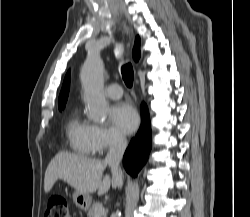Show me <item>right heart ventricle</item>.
Here are the masks:
<instances>
[{"label": "right heart ventricle", "mask_w": 250, "mask_h": 217, "mask_svg": "<svg viewBox=\"0 0 250 217\" xmlns=\"http://www.w3.org/2000/svg\"><path fill=\"white\" fill-rule=\"evenodd\" d=\"M92 125L83 120L77 110L71 112L66 122V136L70 148L80 155H92Z\"/></svg>", "instance_id": "right-heart-ventricle-1"}]
</instances>
